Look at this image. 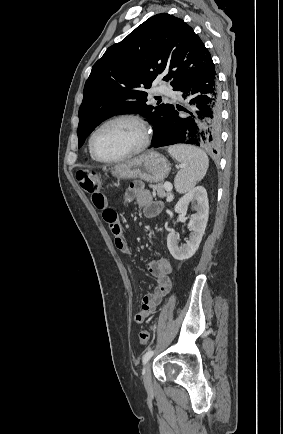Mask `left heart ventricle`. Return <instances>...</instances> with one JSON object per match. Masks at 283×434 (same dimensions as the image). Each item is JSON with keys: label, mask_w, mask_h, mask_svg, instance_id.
<instances>
[{"label": "left heart ventricle", "mask_w": 283, "mask_h": 434, "mask_svg": "<svg viewBox=\"0 0 283 434\" xmlns=\"http://www.w3.org/2000/svg\"><path fill=\"white\" fill-rule=\"evenodd\" d=\"M142 134L139 127L129 121H118L103 127L94 138V149L103 158H116L138 147Z\"/></svg>", "instance_id": "obj_1"}]
</instances>
